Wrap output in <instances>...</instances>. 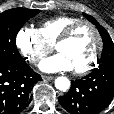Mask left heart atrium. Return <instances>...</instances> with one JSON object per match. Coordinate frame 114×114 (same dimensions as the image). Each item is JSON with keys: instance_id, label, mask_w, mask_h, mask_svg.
Segmentation results:
<instances>
[{"instance_id": "left-heart-atrium-1", "label": "left heart atrium", "mask_w": 114, "mask_h": 114, "mask_svg": "<svg viewBox=\"0 0 114 114\" xmlns=\"http://www.w3.org/2000/svg\"><path fill=\"white\" fill-rule=\"evenodd\" d=\"M40 69L44 72L53 73L59 71H71L73 66L71 62L62 53H57L44 59L40 63Z\"/></svg>"}]
</instances>
